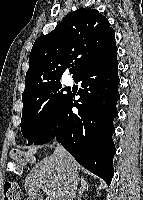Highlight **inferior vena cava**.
Listing matches in <instances>:
<instances>
[{
	"label": "inferior vena cava",
	"instance_id": "602c4592",
	"mask_svg": "<svg viewBox=\"0 0 143 200\" xmlns=\"http://www.w3.org/2000/svg\"><path fill=\"white\" fill-rule=\"evenodd\" d=\"M55 152L58 153V154H61V155H64V154L67 153L66 150L63 148V146L60 145V144L57 145ZM68 169H69L70 175H71L72 180H73V186H75L76 182H77V180H76L77 175H76V173H75V171L72 167H69Z\"/></svg>",
	"mask_w": 143,
	"mask_h": 200
}]
</instances>
